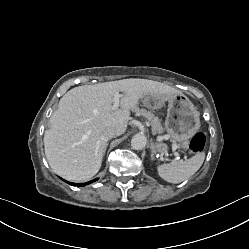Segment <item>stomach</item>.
<instances>
[{
	"instance_id": "1",
	"label": "stomach",
	"mask_w": 249,
	"mask_h": 249,
	"mask_svg": "<svg viewBox=\"0 0 249 249\" xmlns=\"http://www.w3.org/2000/svg\"><path fill=\"white\" fill-rule=\"evenodd\" d=\"M141 99L145 105L153 104L154 108H160L165 102H168L165 127L174 142H187L198 131L200 127L199 112L184 94L176 93L168 98L163 94L158 96L144 94ZM155 149L163 154L167 152V145L160 142L155 145Z\"/></svg>"
}]
</instances>
